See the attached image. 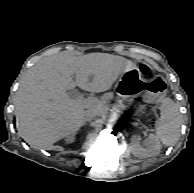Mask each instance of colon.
I'll list each match as a JSON object with an SVG mask.
<instances>
[{
	"label": "colon",
	"instance_id": "obj_1",
	"mask_svg": "<svg viewBox=\"0 0 194 193\" xmlns=\"http://www.w3.org/2000/svg\"><path fill=\"white\" fill-rule=\"evenodd\" d=\"M139 71L143 75H149V73H150L151 70H150V67L148 65L142 64L140 66V68H139Z\"/></svg>",
	"mask_w": 194,
	"mask_h": 193
}]
</instances>
